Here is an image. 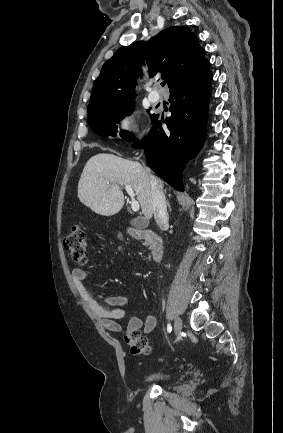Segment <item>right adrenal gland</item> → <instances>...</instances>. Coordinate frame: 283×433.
Segmentation results:
<instances>
[{
	"label": "right adrenal gland",
	"instance_id": "2a0ac1e0",
	"mask_svg": "<svg viewBox=\"0 0 283 433\" xmlns=\"http://www.w3.org/2000/svg\"><path fill=\"white\" fill-rule=\"evenodd\" d=\"M167 206H168V208H169V210H170V212H171V206H170V204H169V200H168V198H167Z\"/></svg>",
	"mask_w": 283,
	"mask_h": 433
}]
</instances>
